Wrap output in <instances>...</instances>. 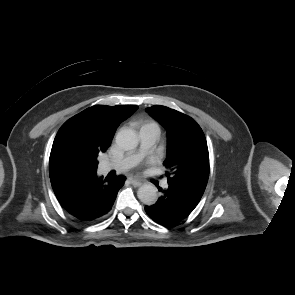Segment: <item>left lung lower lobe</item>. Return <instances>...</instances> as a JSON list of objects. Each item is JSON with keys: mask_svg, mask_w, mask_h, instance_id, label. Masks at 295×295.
Wrapping results in <instances>:
<instances>
[{"mask_svg": "<svg viewBox=\"0 0 295 295\" xmlns=\"http://www.w3.org/2000/svg\"><path fill=\"white\" fill-rule=\"evenodd\" d=\"M168 184L155 204L145 206L148 216L164 226L185 219L198 205L204 193L201 187L181 188L176 184ZM158 189L160 191L159 187Z\"/></svg>", "mask_w": 295, "mask_h": 295, "instance_id": "obj_1", "label": "left lung lower lobe"}]
</instances>
